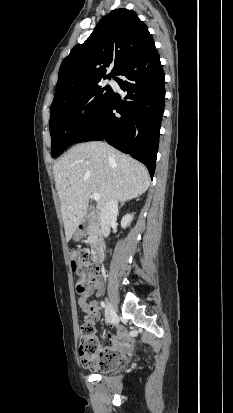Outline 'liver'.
Instances as JSON below:
<instances>
[{"label":"liver","instance_id":"1","mask_svg":"<svg viewBox=\"0 0 233 413\" xmlns=\"http://www.w3.org/2000/svg\"><path fill=\"white\" fill-rule=\"evenodd\" d=\"M53 173L67 241L85 217L93 193L101 196V210L110 198L125 202L150 185L142 163L99 141L73 146L55 162Z\"/></svg>","mask_w":233,"mask_h":413}]
</instances>
